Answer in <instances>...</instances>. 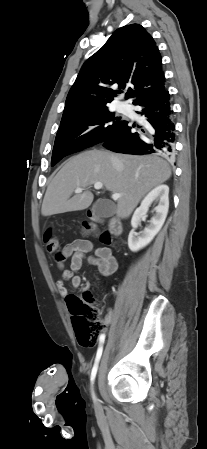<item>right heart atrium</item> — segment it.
<instances>
[{"instance_id": "right-heart-atrium-1", "label": "right heart atrium", "mask_w": 207, "mask_h": 449, "mask_svg": "<svg viewBox=\"0 0 207 449\" xmlns=\"http://www.w3.org/2000/svg\"><path fill=\"white\" fill-rule=\"evenodd\" d=\"M90 130H91V128L89 127V128L87 129V132L90 131Z\"/></svg>"}]
</instances>
